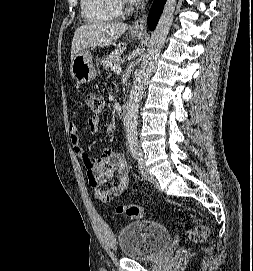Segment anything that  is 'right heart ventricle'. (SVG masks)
<instances>
[{
  "label": "right heart ventricle",
  "mask_w": 253,
  "mask_h": 271,
  "mask_svg": "<svg viewBox=\"0 0 253 271\" xmlns=\"http://www.w3.org/2000/svg\"><path fill=\"white\" fill-rule=\"evenodd\" d=\"M81 11L88 22L102 23L120 18L123 8L119 0H81Z\"/></svg>",
  "instance_id": "obj_1"
}]
</instances>
